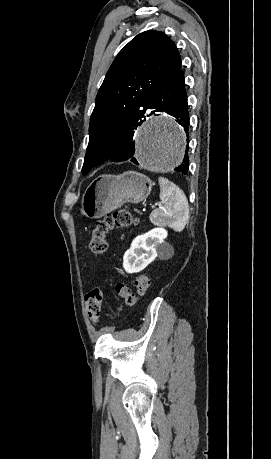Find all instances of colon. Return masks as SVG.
I'll use <instances>...</instances> for the list:
<instances>
[{"mask_svg": "<svg viewBox=\"0 0 271 459\" xmlns=\"http://www.w3.org/2000/svg\"><path fill=\"white\" fill-rule=\"evenodd\" d=\"M136 223V219L127 209H119L102 219H98L91 230L89 248L94 256H102L107 250V234L114 228H124ZM134 290L124 284L115 285L118 296L128 306L136 304L138 297L150 286V277L139 274L133 280ZM103 290L100 287L91 289L86 295L87 314L92 322H98L101 314Z\"/></svg>", "mask_w": 271, "mask_h": 459, "instance_id": "5ec220e1", "label": "colon"}]
</instances>
